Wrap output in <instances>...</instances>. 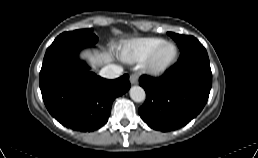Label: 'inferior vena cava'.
<instances>
[{"label":"inferior vena cava","instance_id":"602c4592","mask_svg":"<svg viewBox=\"0 0 258 158\" xmlns=\"http://www.w3.org/2000/svg\"><path fill=\"white\" fill-rule=\"evenodd\" d=\"M122 72L123 68L121 66L109 64L100 70L99 75L107 79H115L119 77Z\"/></svg>","mask_w":258,"mask_h":158}]
</instances>
